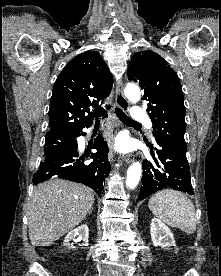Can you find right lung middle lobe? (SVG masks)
I'll use <instances>...</instances> for the list:
<instances>
[{"label":"right lung middle lobe","instance_id":"obj_1","mask_svg":"<svg viewBox=\"0 0 221 276\" xmlns=\"http://www.w3.org/2000/svg\"><path fill=\"white\" fill-rule=\"evenodd\" d=\"M75 142V135H46L44 155L68 150L74 146Z\"/></svg>","mask_w":221,"mask_h":276}]
</instances>
